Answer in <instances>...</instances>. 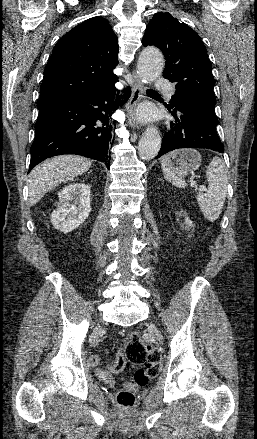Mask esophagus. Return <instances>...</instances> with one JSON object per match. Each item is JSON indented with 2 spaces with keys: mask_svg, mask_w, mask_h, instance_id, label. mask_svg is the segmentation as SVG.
Returning <instances> with one entry per match:
<instances>
[{
  "mask_svg": "<svg viewBox=\"0 0 257 439\" xmlns=\"http://www.w3.org/2000/svg\"><path fill=\"white\" fill-rule=\"evenodd\" d=\"M133 86L132 95L127 104L128 123L131 127L135 128L138 124L136 116V107L143 97L144 86L136 72H132Z\"/></svg>",
  "mask_w": 257,
  "mask_h": 439,
  "instance_id": "esophagus-1",
  "label": "esophagus"
}]
</instances>
